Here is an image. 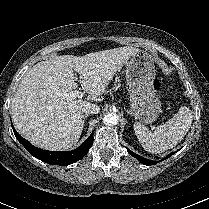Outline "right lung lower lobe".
I'll return each instance as SVG.
<instances>
[{
	"label": "right lung lower lobe",
	"mask_w": 209,
	"mask_h": 209,
	"mask_svg": "<svg viewBox=\"0 0 209 209\" xmlns=\"http://www.w3.org/2000/svg\"><path fill=\"white\" fill-rule=\"evenodd\" d=\"M13 127V126H12ZM17 140L24 145L25 149L35 158L53 165H69L82 159L93 144V134L84 141L77 149L72 151H47L33 146L26 139L22 138L15 129H13Z\"/></svg>",
	"instance_id": "obj_1"
}]
</instances>
